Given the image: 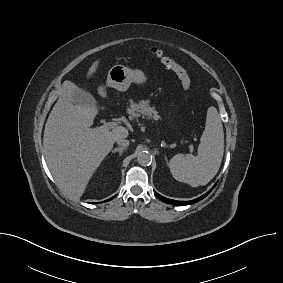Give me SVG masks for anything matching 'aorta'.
Listing matches in <instances>:
<instances>
[{
	"label": "aorta",
	"mask_w": 283,
	"mask_h": 283,
	"mask_svg": "<svg viewBox=\"0 0 283 283\" xmlns=\"http://www.w3.org/2000/svg\"><path fill=\"white\" fill-rule=\"evenodd\" d=\"M137 160L141 166H148L152 162V155L148 151H142L139 153Z\"/></svg>",
	"instance_id": "762f6f07"
}]
</instances>
